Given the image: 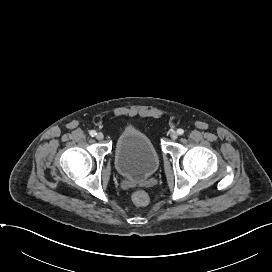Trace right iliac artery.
<instances>
[{"label":"right iliac artery","instance_id":"right-iliac-artery-1","mask_svg":"<svg viewBox=\"0 0 272 272\" xmlns=\"http://www.w3.org/2000/svg\"><path fill=\"white\" fill-rule=\"evenodd\" d=\"M89 134H90L92 137H94V136L96 135V132H95L94 130H91V131L89 132Z\"/></svg>","mask_w":272,"mask_h":272}]
</instances>
